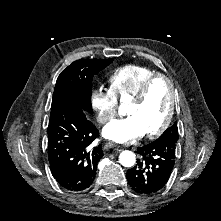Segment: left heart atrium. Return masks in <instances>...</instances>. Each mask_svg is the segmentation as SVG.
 <instances>
[{
  "instance_id": "39dd6f15",
  "label": "left heart atrium",
  "mask_w": 221,
  "mask_h": 221,
  "mask_svg": "<svg viewBox=\"0 0 221 221\" xmlns=\"http://www.w3.org/2000/svg\"><path fill=\"white\" fill-rule=\"evenodd\" d=\"M106 138L116 142H129L144 135V132L132 117L109 123L103 130Z\"/></svg>"
}]
</instances>
